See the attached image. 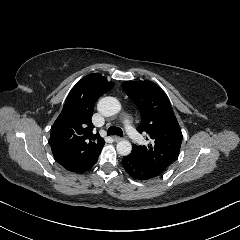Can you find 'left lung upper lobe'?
Segmentation results:
<instances>
[{
  "instance_id": "5c2ea615",
  "label": "left lung upper lobe",
  "mask_w": 240,
  "mask_h": 240,
  "mask_svg": "<svg viewBox=\"0 0 240 240\" xmlns=\"http://www.w3.org/2000/svg\"><path fill=\"white\" fill-rule=\"evenodd\" d=\"M122 87L140 110L142 122L137 130L150 137L147 146L134 144L131 154L150 166L165 170L176 159L183 138L169 100L151 81L124 82Z\"/></svg>"
}]
</instances>
